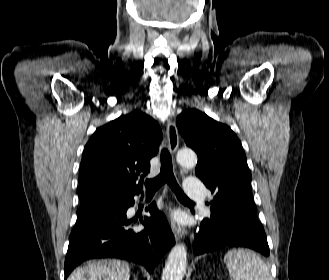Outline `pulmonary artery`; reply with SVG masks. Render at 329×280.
Instances as JSON below:
<instances>
[{
  "label": "pulmonary artery",
  "mask_w": 329,
  "mask_h": 280,
  "mask_svg": "<svg viewBox=\"0 0 329 280\" xmlns=\"http://www.w3.org/2000/svg\"><path fill=\"white\" fill-rule=\"evenodd\" d=\"M184 191L188 198L202 201L205 196V187L197 177H189L184 184Z\"/></svg>",
  "instance_id": "1"
}]
</instances>
